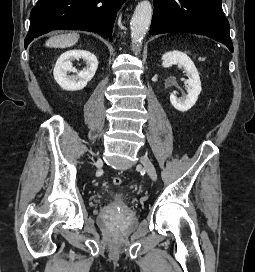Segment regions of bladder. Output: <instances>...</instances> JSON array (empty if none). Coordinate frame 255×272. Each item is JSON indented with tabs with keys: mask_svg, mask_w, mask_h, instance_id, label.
Listing matches in <instances>:
<instances>
[{
	"mask_svg": "<svg viewBox=\"0 0 255 272\" xmlns=\"http://www.w3.org/2000/svg\"><path fill=\"white\" fill-rule=\"evenodd\" d=\"M113 201H114L116 204L123 203V202H124V197L121 196V195H116V196L113 197Z\"/></svg>",
	"mask_w": 255,
	"mask_h": 272,
	"instance_id": "obj_1",
	"label": "bladder"
}]
</instances>
